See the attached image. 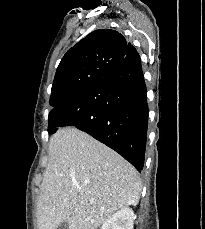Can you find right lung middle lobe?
I'll return each mask as SVG.
<instances>
[{"label":"right lung middle lobe","instance_id":"obj_1","mask_svg":"<svg viewBox=\"0 0 205 229\" xmlns=\"http://www.w3.org/2000/svg\"><path fill=\"white\" fill-rule=\"evenodd\" d=\"M73 97V96H72ZM72 97H70V98H72ZM70 98H66V99H64L63 101H62V103L61 104H64V103H66ZM61 104H59V105H61ZM51 106H53V107H56V105H51ZM58 106V105H57Z\"/></svg>","mask_w":205,"mask_h":229}]
</instances>
